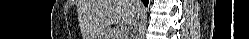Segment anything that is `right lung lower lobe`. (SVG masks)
<instances>
[{"label": "right lung lower lobe", "mask_w": 249, "mask_h": 39, "mask_svg": "<svg viewBox=\"0 0 249 39\" xmlns=\"http://www.w3.org/2000/svg\"><path fill=\"white\" fill-rule=\"evenodd\" d=\"M145 6H148V0H142Z\"/></svg>", "instance_id": "obj_1"}]
</instances>
